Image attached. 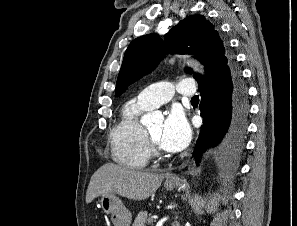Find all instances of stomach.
I'll return each instance as SVG.
<instances>
[{
  "mask_svg": "<svg viewBox=\"0 0 297 226\" xmlns=\"http://www.w3.org/2000/svg\"><path fill=\"white\" fill-rule=\"evenodd\" d=\"M175 186V182L165 183L167 190H173ZM100 207L105 213L111 215L114 226H130L132 220L131 212L114 193L101 195Z\"/></svg>",
  "mask_w": 297,
  "mask_h": 226,
  "instance_id": "0dacf381",
  "label": "stomach"
}]
</instances>
